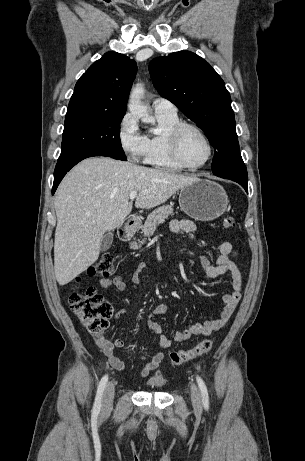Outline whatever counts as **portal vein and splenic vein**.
<instances>
[{
	"label": "portal vein and splenic vein",
	"mask_w": 305,
	"mask_h": 461,
	"mask_svg": "<svg viewBox=\"0 0 305 461\" xmlns=\"http://www.w3.org/2000/svg\"><path fill=\"white\" fill-rule=\"evenodd\" d=\"M137 194H138V193H137L136 191L131 192V193L129 194L130 200H134V199L137 197Z\"/></svg>",
	"instance_id": "obj_1"
}]
</instances>
